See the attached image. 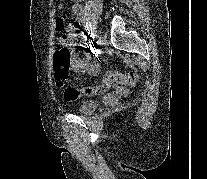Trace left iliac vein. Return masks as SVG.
Segmentation results:
<instances>
[{
  "mask_svg": "<svg viewBox=\"0 0 207 179\" xmlns=\"http://www.w3.org/2000/svg\"><path fill=\"white\" fill-rule=\"evenodd\" d=\"M106 44V39L104 36H100L99 45L97 46L98 49H103L104 45Z\"/></svg>",
  "mask_w": 207,
  "mask_h": 179,
  "instance_id": "obj_1",
  "label": "left iliac vein"
}]
</instances>
